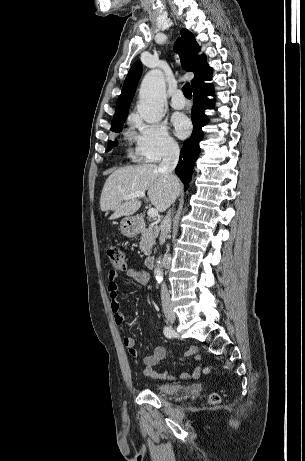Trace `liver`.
<instances>
[{
  "label": "liver",
  "instance_id": "liver-1",
  "mask_svg": "<svg viewBox=\"0 0 305 461\" xmlns=\"http://www.w3.org/2000/svg\"><path fill=\"white\" fill-rule=\"evenodd\" d=\"M147 191L151 204L164 212L181 191L180 180L159 171L155 164L132 165L115 170L106 180L100 198L102 211H113L110 220L134 214L141 206L138 198L127 200L125 195Z\"/></svg>",
  "mask_w": 305,
  "mask_h": 461
}]
</instances>
